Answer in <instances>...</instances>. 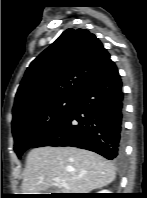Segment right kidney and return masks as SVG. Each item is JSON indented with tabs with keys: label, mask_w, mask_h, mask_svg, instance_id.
Segmentation results:
<instances>
[{
	"label": "right kidney",
	"mask_w": 147,
	"mask_h": 198,
	"mask_svg": "<svg viewBox=\"0 0 147 198\" xmlns=\"http://www.w3.org/2000/svg\"><path fill=\"white\" fill-rule=\"evenodd\" d=\"M98 193H111V191H108L107 189H103L102 191H99Z\"/></svg>",
	"instance_id": "ca27d5eb"
}]
</instances>
